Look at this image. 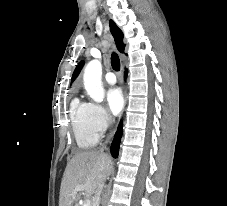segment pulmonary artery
Here are the masks:
<instances>
[{
  "label": "pulmonary artery",
  "mask_w": 227,
  "mask_h": 206,
  "mask_svg": "<svg viewBox=\"0 0 227 206\" xmlns=\"http://www.w3.org/2000/svg\"><path fill=\"white\" fill-rule=\"evenodd\" d=\"M105 80L109 83V84H115L117 79L116 76L113 72L109 71L105 74Z\"/></svg>",
  "instance_id": "e3ab8cb5"
}]
</instances>
